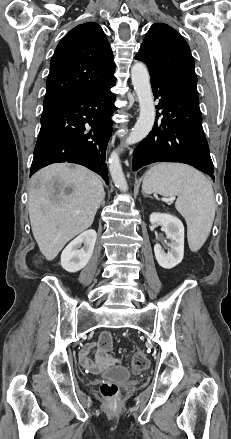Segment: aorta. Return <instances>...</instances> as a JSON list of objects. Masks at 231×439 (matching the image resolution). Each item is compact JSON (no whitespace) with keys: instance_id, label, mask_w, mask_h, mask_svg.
<instances>
[{"instance_id":"1","label":"aorta","mask_w":231,"mask_h":439,"mask_svg":"<svg viewBox=\"0 0 231 439\" xmlns=\"http://www.w3.org/2000/svg\"><path fill=\"white\" fill-rule=\"evenodd\" d=\"M131 79L139 101L140 114L129 136L126 138V145H132L144 139L152 130L155 121L154 99L149 73L144 63L136 62L132 66ZM109 170L115 186L121 191H127V182L116 151H113L110 155Z\"/></svg>"}]
</instances>
